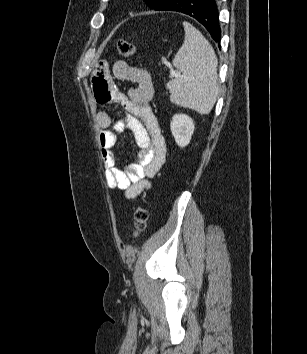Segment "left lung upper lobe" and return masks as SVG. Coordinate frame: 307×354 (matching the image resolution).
Returning a JSON list of instances; mask_svg holds the SVG:
<instances>
[{"instance_id": "1", "label": "left lung upper lobe", "mask_w": 307, "mask_h": 354, "mask_svg": "<svg viewBox=\"0 0 307 354\" xmlns=\"http://www.w3.org/2000/svg\"><path fill=\"white\" fill-rule=\"evenodd\" d=\"M144 1L150 8L155 10H159L169 2V0H144Z\"/></svg>"}]
</instances>
